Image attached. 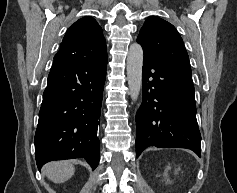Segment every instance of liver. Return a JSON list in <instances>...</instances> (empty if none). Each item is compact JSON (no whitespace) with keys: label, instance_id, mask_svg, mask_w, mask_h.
<instances>
[{"label":"liver","instance_id":"obj_1","mask_svg":"<svg viewBox=\"0 0 237 193\" xmlns=\"http://www.w3.org/2000/svg\"><path fill=\"white\" fill-rule=\"evenodd\" d=\"M47 177L55 183H63L74 175V166L69 161L50 162L44 166Z\"/></svg>","mask_w":237,"mask_h":193}]
</instances>
